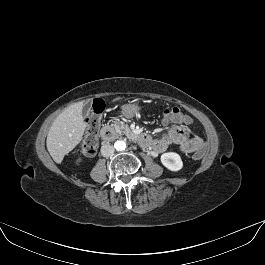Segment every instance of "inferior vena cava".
<instances>
[{"label":"inferior vena cava","mask_w":265,"mask_h":265,"mask_svg":"<svg viewBox=\"0 0 265 265\" xmlns=\"http://www.w3.org/2000/svg\"><path fill=\"white\" fill-rule=\"evenodd\" d=\"M101 154L103 157H110L114 154V147L110 144H104L101 146Z\"/></svg>","instance_id":"obj_1"}]
</instances>
